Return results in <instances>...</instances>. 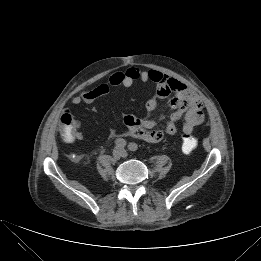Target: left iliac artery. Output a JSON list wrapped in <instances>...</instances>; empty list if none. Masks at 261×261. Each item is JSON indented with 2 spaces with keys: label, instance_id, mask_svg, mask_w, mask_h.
<instances>
[{
  "label": "left iliac artery",
  "instance_id": "44dca946",
  "mask_svg": "<svg viewBox=\"0 0 261 261\" xmlns=\"http://www.w3.org/2000/svg\"><path fill=\"white\" fill-rule=\"evenodd\" d=\"M128 149L130 150V151H136L137 149H138V146L135 144V143H130L129 145H128Z\"/></svg>",
  "mask_w": 261,
  "mask_h": 261
}]
</instances>
